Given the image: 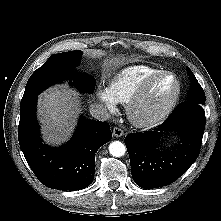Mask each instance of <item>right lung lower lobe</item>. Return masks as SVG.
Instances as JSON below:
<instances>
[{"label": "right lung lower lobe", "instance_id": "1", "mask_svg": "<svg viewBox=\"0 0 221 221\" xmlns=\"http://www.w3.org/2000/svg\"><path fill=\"white\" fill-rule=\"evenodd\" d=\"M36 100L20 107L18 127L19 144L30 168L52 189L74 191L89 186L95 174V153L112 138L109 125L82 116L71 141L50 148L40 137Z\"/></svg>", "mask_w": 221, "mask_h": 221}]
</instances>
